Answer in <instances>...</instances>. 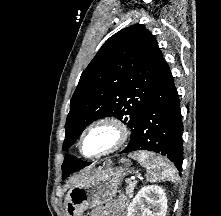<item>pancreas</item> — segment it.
Masks as SVG:
<instances>
[{
    "label": "pancreas",
    "instance_id": "obj_1",
    "mask_svg": "<svg viewBox=\"0 0 221 216\" xmlns=\"http://www.w3.org/2000/svg\"><path fill=\"white\" fill-rule=\"evenodd\" d=\"M135 188V184L129 183V185L126 187V194L131 198L133 196V191Z\"/></svg>",
    "mask_w": 221,
    "mask_h": 216
}]
</instances>
